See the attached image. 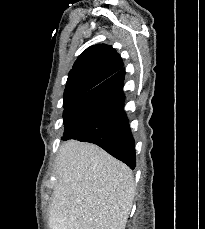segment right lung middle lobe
Here are the masks:
<instances>
[{
	"label": "right lung middle lobe",
	"mask_w": 205,
	"mask_h": 229,
	"mask_svg": "<svg viewBox=\"0 0 205 229\" xmlns=\"http://www.w3.org/2000/svg\"><path fill=\"white\" fill-rule=\"evenodd\" d=\"M75 101H64L63 107L64 108H67L68 106H70L71 104H73Z\"/></svg>",
	"instance_id": "1"
}]
</instances>
